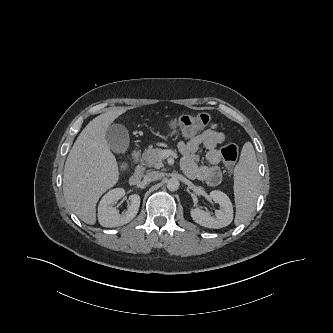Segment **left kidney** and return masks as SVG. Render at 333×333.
Segmentation results:
<instances>
[{
  "label": "left kidney",
  "mask_w": 333,
  "mask_h": 333,
  "mask_svg": "<svg viewBox=\"0 0 333 333\" xmlns=\"http://www.w3.org/2000/svg\"><path fill=\"white\" fill-rule=\"evenodd\" d=\"M210 197L220 205V209L215 211V216L195 208L190 211L192 219L207 228L218 229L228 226L233 220V206L229 197L219 190L211 191Z\"/></svg>",
  "instance_id": "obj_1"
}]
</instances>
